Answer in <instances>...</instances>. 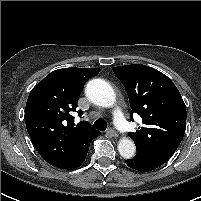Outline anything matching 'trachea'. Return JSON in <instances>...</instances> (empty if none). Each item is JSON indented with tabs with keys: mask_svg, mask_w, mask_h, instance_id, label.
<instances>
[{
	"mask_svg": "<svg viewBox=\"0 0 201 201\" xmlns=\"http://www.w3.org/2000/svg\"><path fill=\"white\" fill-rule=\"evenodd\" d=\"M93 128H96L100 131H105L107 128V123L103 119H97L93 124Z\"/></svg>",
	"mask_w": 201,
	"mask_h": 201,
	"instance_id": "obj_1",
	"label": "trachea"
}]
</instances>
